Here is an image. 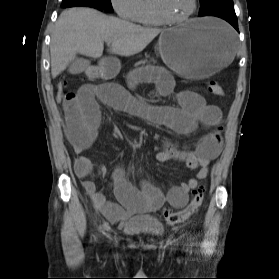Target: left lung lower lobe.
<instances>
[{"label":"left lung lower lobe","instance_id":"obj_1","mask_svg":"<svg viewBox=\"0 0 279 279\" xmlns=\"http://www.w3.org/2000/svg\"><path fill=\"white\" fill-rule=\"evenodd\" d=\"M206 16H216L229 22L238 32V21L234 9H221L211 12Z\"/></svg>","mask_w":279,"mask_h":279}]
</instances>
